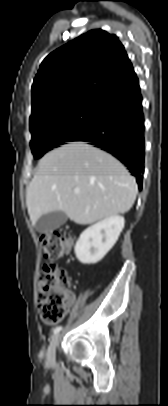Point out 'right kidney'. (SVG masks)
<instances>
[{"label":"right kidney","mask_w":168,"mask_h":406,"mask_svg":"<svg viewBox=\"0 0 168 406\" xmlns=\"http://www.w3.org/2000/svg\"><path fill=\"white\" fill-rule=\"evenodd\" d=\"M124 223L122 216L115 215L84 230L75 245L77 259L83 264H95L103 259L118 240Z\"/></svg>","instance_id":"right-kidney-1"}]
</instances>
